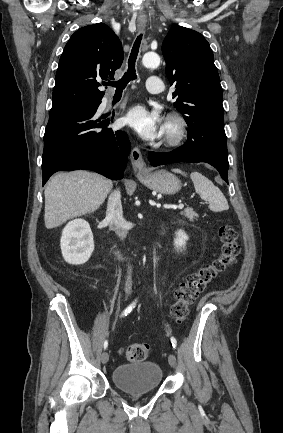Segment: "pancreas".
Listing matches in <instances>:
<instances>
[{"label": "pancreas", "instance_id": "pancreas-1", "mask_svg": "<svg viewBox=\"0 0 283 433\" xmlns=\"http://www.w3.org/2000/svg\"><path fill=\"white\" fill-rule=\"evenodd\" d=\"M182 214H184V217H187V219H190V221H193V219L197 217V212H195L193 208H184V210H182Z\"/></svg>", "mask_w": 283, "mask_h": 433}]
</instances>
